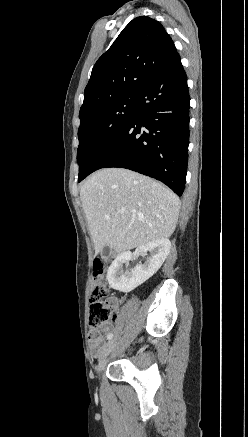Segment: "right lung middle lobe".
I'll return each mask as SVG.
<instances>
[{
  "label": "right lung middle lobe",
  "instance_id": "right-lung-middle-lobe-1",
  "mask_svg": "<svg viewBox=\"0 0 248 437\" xmlns=\"http://www.w3.org/2000/svg\"><path fill=\"white\" fill-rule=\"evenodd\" d=\"M135 102L136 96L119 98L81 121L78 129V181L88 174L94 159L126 125L133 114Z\"/></svg>",
  "mask_w": 248,
  "mask_h": 437
}]
</instances>
